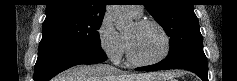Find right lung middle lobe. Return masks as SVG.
Wrapping results in <instances>:
<instances>
[{
    "mask_svg": "<svg viewBox=\"0 0 237 81\" xmlns=\"http://www.w3.org/2000/svg\"><path fill=\"white\" fill-rule=\"evenodd\" d=\"M103 17L56 16L45 19L40 44L101 48L98 29Z\"/></svg>",
    "mask_w": 237,
    "mask_h": 81,
    "instance_id": "dd1d6c3e",
    "label": "right lung middle lobe"
}]
</instances>
